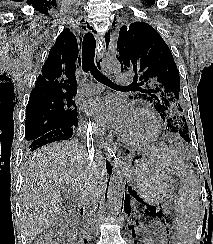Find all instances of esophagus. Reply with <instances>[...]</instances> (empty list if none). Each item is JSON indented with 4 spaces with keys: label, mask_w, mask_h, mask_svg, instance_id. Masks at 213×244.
Returning a JSON list of instances; mask_svg holds the SVG:
<instances>
[{
    "label": "esophagus",
    "mask_w": 213,
    "mask_h": 244,
    "mask_svg": "<svg viewBox=\"0 0 213 244\" xmlns=\"http://www.w3.org/2000/svg\"><path fill=\"white\" fill-rule=\"evenodd\" d=\"M106 52H107L106 42L104 40L103 45H102V50L98 53L97 58H96L97 66L100 69H102V64H103L104 56H105ZM106 148H107L110 156L113 159H116V154L120 151L118 145L115 142L110 140L108 142V144H106Z\"/></svg>",
    "instance_id": "esophagus-1"
}]
</instances>
